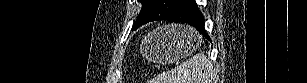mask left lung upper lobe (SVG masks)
Masks as SVG:
<instances>
[{"mask_svg":"<svg viewBox=\"0 0 307 83\" xmlns=\"http://www.w3.org/2000/svg\"><path fill=\"white\" fill-rule=\"evenodd\" d=\"M142 3L141 12L135 21L133 28L141 25L163 19L170 11L176 0H138Z\"/></svg>","mask_w":307,"mask_h":83,"instance_id":"5c2ea615","label":"left lung upper lobe"}]
</instances>
